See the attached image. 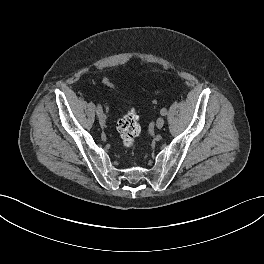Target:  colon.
<instances>
[{
    "mask_svg": "<svg viewBox=\"0 0 264 264\" xmlns=\"http://www.w3.org/2000/svg\"><path fill=\"white\" fill-rule=\"evenodd\" d=\"M104 82L109 87L114 88L108 79H105ZM117 130L121 142L125 147L130 148L135 144L140 135L141 126L139 116L134 108H129L125 115L118 121Z\"/></svg>",
    "mask_w": 264,
    "mask_h": 264,
    "instance_id": "colon-1",
    "label": "colon"
}]
</instances>
